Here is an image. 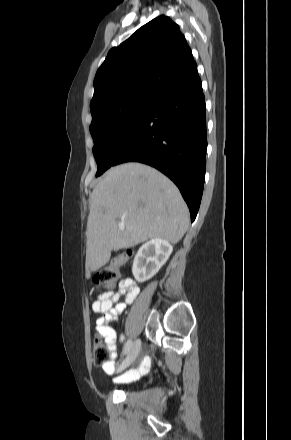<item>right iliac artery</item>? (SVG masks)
Wrapping results in <instances>:
<instances>
[{
    "label": "right iliac artery",
    "mask_w": 291,
    "mask_h": 440,
    "mask_svg": "<svg viewBox=\"0 0 291 440\" xmlns=\"http://www.w3.org/2000/svg\"><path fill=\"white\" fill-rule=\"evenodd\" d=\"M131 347H132V340H128L127 343L124 346L123 353L127 354L130 351Z\"/></svg>",
    "instance_id": "82829eb1"
}]
</instances>
